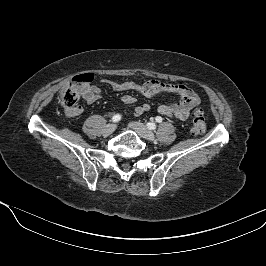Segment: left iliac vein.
I'll use <instances>...</instances> for the list:
<instances>
[{
  "label": "left iliac vein",
  "mask_w": 266,
  "mask_h": 266,
  "mask_svg": "<svg viewBox=\"0 0 266 266\" xmlns=\"http://www.w3.org/2000/svg\"><path fill=\"white\" fill-rule=\"evenodd\" d=\"M130 128L133 129L140 137L153 141L155 139L154 133L149 130L144 124L140 122H131Z\"/></svg>",
  "instance_id": "obj_1"
}]
</instances>
